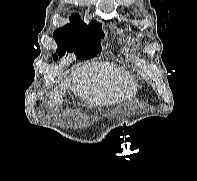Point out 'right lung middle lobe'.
I'll return each mask as SVG.
<instances>
[{
	"mask_svg": "<svg viewBox=\"0 0 197 181\" xmlns=\"http://www.w3.org/2000/svg\"><path fill=\"white\" fill-rule=\"evenodd\" d=\"M53 36L58 45L55 58H60L67 51L74 52L79 59H89L100 53V39L105 35L95 20L86 25L79 19L55 30Z\"/></svg>",
	"mask_w": 197,
	"mask_h": 181,
	"instance_id": "obj_1",
	"label": "right lung middle lobe"
}]
</instances>
